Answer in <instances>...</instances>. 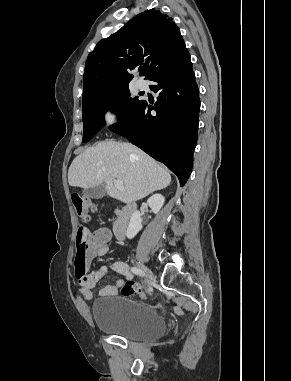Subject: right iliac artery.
<instances>
[{
    "mask_svg": "<svg viewBox=\"0 0 291 381\" xmlns=\"http://www.w3.org/2000/svg\"><path fill=\"white\" fill-rule=\"evenodd\" d=\"M131 271L136 274V275H139L141 277H144L145 276V273L140 269V268H137V267H131Z\"/></svg>",
    "mask_w": 291,
    "mask_h": 381,
    "instance_id": "right-iliac-artery-1",
    "label": "right iliac artery"
}]
</instances>
